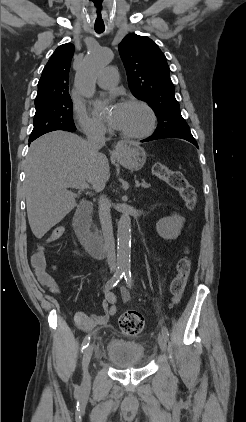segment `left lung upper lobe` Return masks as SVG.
<instances>
[{
  "label": "left lung upper lobe",
  "mask_w": 246,
  "mask_h": 422,
  "mask_svg": "<svg viewBox=\"0 0 246 422\" xmlns=\"http://www.w3.org/2000/svg\"><path fill=\"white\" fill-rule=\"evenodd\" d=\"M118 48L131 92L146 101L156 114L158 126L153 134L191 133L175 98L166 57L155 42L129 34Z\"/></svg>",
  "instance_id": "5c2ea615"
}]
</instances>
